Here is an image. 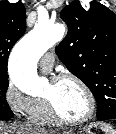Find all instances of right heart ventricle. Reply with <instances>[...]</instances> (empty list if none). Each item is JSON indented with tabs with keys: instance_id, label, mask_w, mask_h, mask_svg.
I'll return each mask as SVG.
<instances>
[{
	"instance_id": "right-heart-ventricle-1",
	"label": "right heart ventricle",
	"mask_w": 116,
	"mask_h": 134,
	"mask_svg": "<svg viewBox=\"0 0 116 134\" xmlns=\"http://www.w3.org/2000/svg\"><path fill=\"white\" fill-rule=\"evenodd\" d=\"M34 107L29 117L31 120L38 124L48 125L52 123L54 120L48 112L47 106L43 99H33Z\"/></svg>"
}]
</instances>
